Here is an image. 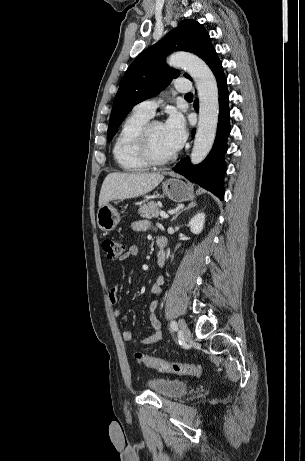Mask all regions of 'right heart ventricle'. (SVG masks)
Returning a JSON list of instances; mask_svg holds the SVG:
<instances>
[{
  "label": "right heart ventricle",
  "mask_w": 305,
  "mask_h": 461,
  "mask_svg": "<svg viewBox=\"0 0 305 461\" xmlns=\"http://www.w3.org/2000/svg\"><path fill=\"white\" fill-rule=\"evenodd\" d=\"M150 117L133 112L123 122L113 146V155L118 166L128 172L142 171L147 168L136 149V138L142 126Z\"/></svg>",
  "instance_id": "e07e8e85"
}]
</instances>
